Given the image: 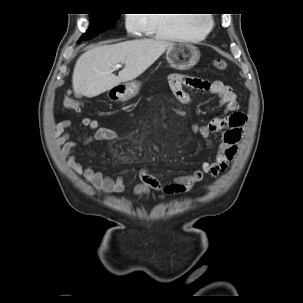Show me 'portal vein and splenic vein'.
Returning a JSON list of instances; mask_svg holds the SVG:
<instances>
[{"mask_svg":"<svg viewBox=\"0 0 303 303\" xmlns=\"http://www.w3.org/2000/svg\"><path fill=\"white\" fill-rule=\"evenodd\" d=\"M120 67H121L120 64H116V65L114 66V68H120Z\"/></svg>","mask_w":303,"mask_h":303,"instance_id":"1","label":"portal vein and splenic vein"}]
</instances>
